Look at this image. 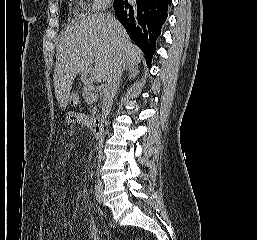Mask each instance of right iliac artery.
I'll return each instance as SVG.
<instances>
[{
  "instance_id": "obj_1",
  "label": "right iliac artery",
  "mask_w": 257,
  "mask_h": 240,
  "mask_svg": "<svg viewBox=\"0 0 257 240\" xmlns=\"http://www.w3.org/2000/svg\"><path fill=\"white\" fill-rule=\"evenodd\" d=\"M95 197L97 202L101 203L102 201V192L98 185H95Z\"/></svg>"
}]
</instances>
